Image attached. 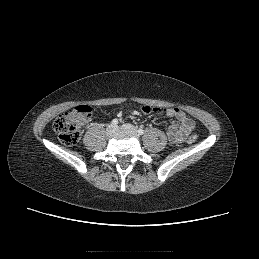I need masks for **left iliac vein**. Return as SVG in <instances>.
Here are the masks:
<instances>
[{"mask_svg": "<svg viewBox=\"0 0 259 259\" xmlns=\"http://www.w3.org/2000/svg\"><path fill=\"white\" fill-rule=\"evenodd\" d=\"M121 129L123 131L130 132V133H132L133 135H135L137 137L139 136V133H138L137 129L133 125H131V124H123L121 126Z\"/></svg>", "mask_w": 259, "mask_h": 259, "instance_id": "obj_1", "label": "left iliac vein"}]
</instances>
